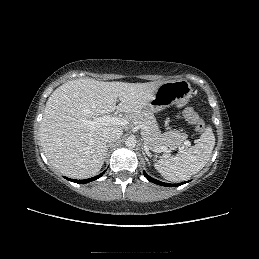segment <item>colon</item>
<instances>
[{
	"label": "colon",
	"instance_id": "obj_1",
	"mask_svg": "<svg viewBox=\"0 0 259 259\" xmlns=\"http://www.w3.org/2000/svg\"><path fill=\"white\" fill-rule=\"evenodd\" d=\"M184 116L191 124L194 125L197 131H204L205 124L193 108H187L184 111Z\"/></svg>",
	"mask_w": 259,
	"mask_h": 259
}]
</instances>
